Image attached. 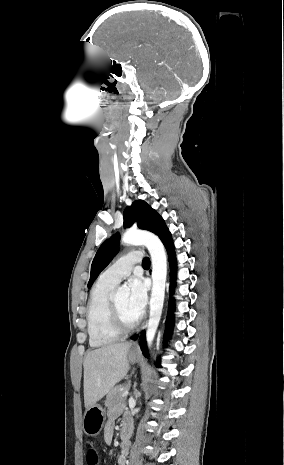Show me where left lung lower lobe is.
<instances>
[{
  "mask_svg": "<svg viewBox=\"0 0 284 465\" xmlns=\"http://www.w3.org/2000/svg\"><path fill=\"white\" fill-rule=\"evenodd\" d=\"M163 244L165 245L168 255H169V262H170V289L172 291V288L175 286V279H176V257H175V252H174V247H173V241L171 238V235L169 234L165 240L163 241ZM175 308L174 304V299L171 298L169 300V305H168V319L166 321V331H165V337H164V342H166V339L171 335L172 327H173V311ZM138 335H134L132 337L133 340L137 339ZM140 347L144 353L145 356L147 355V347H146V341H145V333L144 331L142 332V335L140 337ZM157 366L160 367V362L159 360L157 361Z\"/></svg>",
  "mask_w": 284,
  "mask_h": 465,
  "instance_id": "left-lung-lower-lobe-1",
  "label": "left lung lower lobe"
}]
</instances>
